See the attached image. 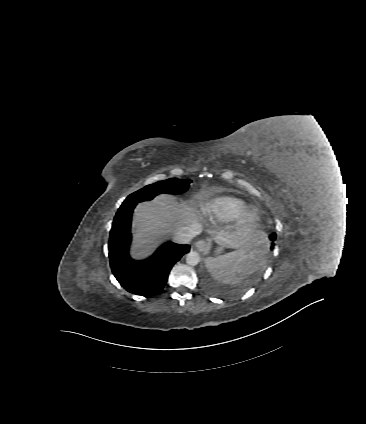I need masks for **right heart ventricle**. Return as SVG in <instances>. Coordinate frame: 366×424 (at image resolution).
Returning <instances> with one entry per match:
<instances>
[{
	"label": "right heart ventricle",
	"instance_id": "1",
	"mask_svg": "<svg viewBox=\"0 0 366 424\" xmlns=\"http://www.w3.org/2000/svg\"><path fill=\"white\" fill-rule=\"evenodd\" d=\"M246 208V203L234 196H220L209 202L204 211L210 217L221 223L236 220Z\"/></svg>",
	"mask_w": 366,
	"mask_h": 424
}]
</instances>
